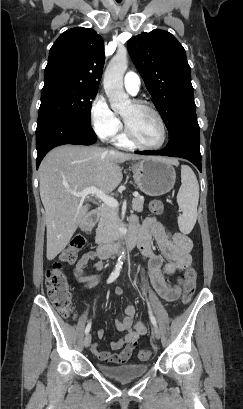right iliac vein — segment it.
<instances>
[{
    "instance_id": "63e3f726",
    "label": "right iliac vein",
    "mask_w": 243,
    "mask_h": 409,
    "mask_svg": "<svg viewBox=\"0 0 243 409\" xmlns=\"http://www.w3.org/2000/svg\"><path fill=\"white\" fill-rule=\"evenodd\" d=\"M91 339H92L91 334L90 333L86 334L85 339H84V346L86 348L90 346Z\"/></svg>"
}]
</instances>
